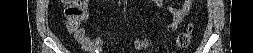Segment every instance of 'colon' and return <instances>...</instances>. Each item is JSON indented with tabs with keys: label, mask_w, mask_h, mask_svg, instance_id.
Masks as SVG:
<instances>
[{
	"label": "colon",
	"mask_w": 253,
	"mask_h": 53,
	"mask_svg": "<svg viewBox=\"0 0 253 53\" xmlns=\"http://www.w3.org/2000/svg\"><path fill=\"white\" fill-rule=\"evenodd\" d=\"M86 1H73L70 6L65 9V16L67 18V27L70 31L74 32L79 29L82 23L87 17V7L85 6ZM194 30V25L190 23L186 30L180 33L175 41V46L178 49H185L188 47L192 33ZM136 48L141 49L147 46L145 40H136L134 42Z\"/></svg>",
	"instance_id": "obj_1"
}]
</instances>
